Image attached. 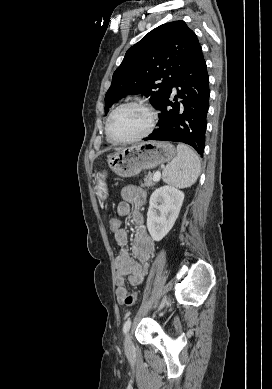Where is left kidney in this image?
<instances>
[{
  "label": "left kidney",
  "mask_w": 272,
  "mask_h": 389,
  "mask_svg": "<svg viewBox=\"0 0 272 389\" xmlns=\"http://www.w3.org/2000/svg\"><path fill=\"white\" fill-rule=\"evenodd\" d=\"M183 200L184 193L169 185L162 186L152 193L147 212V228L153 240H162L172 229Z\"/></svg>",
  "instance_id": "1"
}]
</instances>
